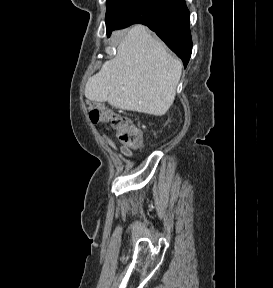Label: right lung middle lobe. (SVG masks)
<instances>
[{"instance_id": "obj_1", "label": "right lung middle lobe", "mask_w": 273, "mask_h": 288, "mask_svg": "<svg viewBox=\"0 0 273 288\" xmlns=\"http://www.w3.org/2000/svg\"><path fill=\"white\" fill-rule=\"evenodd\" d=\"M137 0H107L105 17L107 33Z\"/></svg>"}]
</instances>
